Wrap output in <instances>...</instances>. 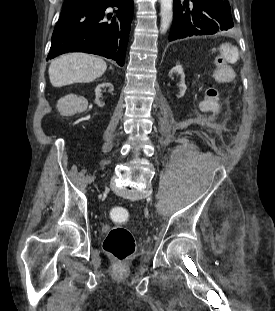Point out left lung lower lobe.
I'll return each instance as SVG.
<instances>
[{"mask_svg":"<svg viewBox=\"0 0 275 311\" xmlns=\"http://www.w3.org/2000/svg\"><path fill=\"white\" fill-rule=\"evenodd\" d=\"M174 23L169 41L212 35L233 27L228 0H174Z\"/></svg>","mask_w":275,"mask_h":311,"instance_id":"0a47b994","label":"left lung lower lobe"}]
</instances>
